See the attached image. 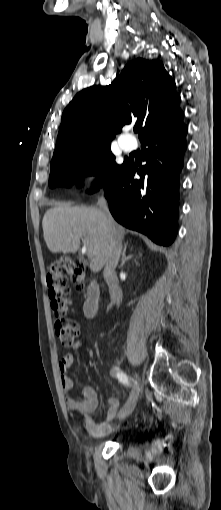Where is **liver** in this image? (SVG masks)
Instances as JSON below:
<instances>
[{
    "label": "liver",
    "instance_id": "6515ba94",
    "mask_svg": "<svg viewBox=\"0 0 221 510\" xmlns=\"http://www.w3.org/2000/svg\"><path fill=\"white\" fill-rule=\"evenodd\" d=\"M42 226L44 240L52 253L75 254L82 240L93 251L90 270L99 272L105 265L109 230L100 208L58 205L46 211ZM114 227L122 240L124 228L115 221Z\"/></svg>",
    "mask_w": 221,
    "mask_h": 510
}]
</instances>
